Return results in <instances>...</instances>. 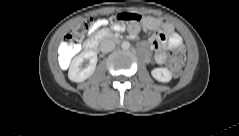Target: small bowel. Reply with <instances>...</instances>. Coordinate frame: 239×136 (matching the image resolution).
<instances>
[{
  "instance_id": "obj_1",
  "label": "small bowel",
  "mask_w": 239,
  "mask_h": 136,
  "mask_svg": "<svg viewBox=\"0 0 239 136\" xmlns=\"http://www.w3.org/2000/svg\"><path fill=\"white\" fill-rule=\"evenodd\" d=\"M101 21H96L95 26H98ZM144 29L152 31L153 35L150 38L152 48L155 50V60L158 64H164L167 59L165 51L166 47L175 48L181 45V37L173 32V27L170 24H161L157 19L153 17H146L142 21ZM115 30H122L124 27L122 24H115L113 26ZM128 31L131 35H136L140 31L138 25H130Z\"/></svg>"
}]
</instances>
